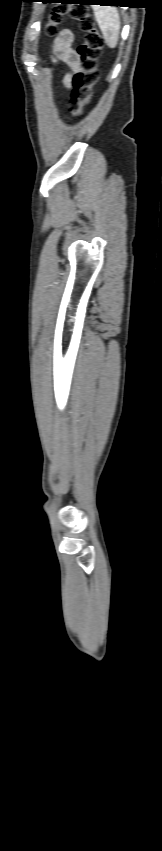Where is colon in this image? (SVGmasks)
<instances>
[{"mask_svg":"<svg viewBox=\"0 0 162 851\" xmlns=\"http://www.w3.org/2000/svg\"><path fill=\"white\" fill-rule=\"evenodd\" d=\"M64 15H68L71 19L77 21L78 27L83 33V39L76 48L80 60V71L74 77L69 103L71 115L78 117L82 115L85 106L90 102L93 88L98 81L100 73L97 62L104 47V40L93 15L85 7L79 5L56 6L50 12L45 26L48 36L57 33Z\"/></svg>","mask_w":162,"mask_h":851,"instance_id":"obj_1","label":"colon"}]
</instances>
